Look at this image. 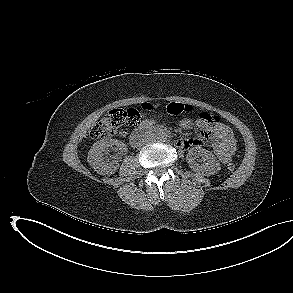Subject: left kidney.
Segmentation results:
<instances>
[{"mask_svg": "<svg viewBox=\"0 0 293 293\" xmlns=\"http://www.w3.org/2000/svg\"><path fill=\"white\" fill-rule=\"evenodd\" d=\"M199 157H202L204 163L198 161ZM186 159L193 171L206 176L214 175L220 170V163L213 153L200 147L191 148Z\"/></svg>", "mask_w": 293, "mask_h": 293, "instance_id": "left-kidney-1", "label": "left kidney"}]
</instances>
